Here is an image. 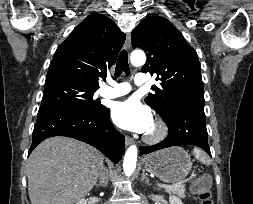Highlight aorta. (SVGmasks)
I'll return each instance as SVG.
<instances>
[{"mask_svg":"<svg viewBox=\"0 0 253 204\" xmlns=\"http://www.w3.org/2000/svg\"><path fill=\"white\" fill-rule=\"evenodd\" d=\"M131 63L134 66H141L146 62V56L145 53L141 50H135L131 53ZM137 147L135 145H131L124 157V162H123V169L125 172V175L130 176L135 170L136 167V162H137Z\"/></svg>","mask_w":253,"mask_h":204,"instance_id":"762f6f07","label":"aorta"}]
</instances>
